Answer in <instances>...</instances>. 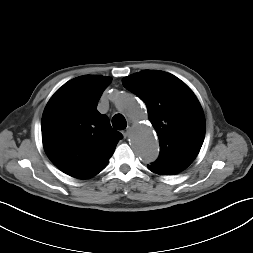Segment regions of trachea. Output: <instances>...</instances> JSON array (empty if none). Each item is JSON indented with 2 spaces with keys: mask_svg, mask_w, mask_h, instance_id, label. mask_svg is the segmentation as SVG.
<instances>
[{
  "mask_svg": "<svg viewBox=\"0 0 253 253\" xmlns=\"http://www.w3.org/2000/svg\"><path fill=\"white\" fill-rule=\"evenodd\" d=\"M112 125L117 130H123L126 128L127 122L122 114H116L112 118Z\"/></svg>",
  "mask_w": 253,
  "mask_h": 253,
  "instance_id": "3493384b",
  "label": "trachea"
}]
</instances>
